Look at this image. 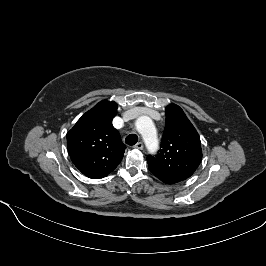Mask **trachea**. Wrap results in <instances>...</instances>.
Instances as JSON below:
<instances>
[{"instance_id":"3493384b","label":"trachea","mask_w":266,"mask_h":266,"mask_svg":"<svg viewBox=\"0 0 266 266\" xmlns=\"http://www.w3.org/2000/svg\"><path fill=\"white\" fill-rule=\"evenodd\" d=\"M125 141L128 145H135L138 141V136L136 134H130L126 137Z\"/></svg>"}]
</instances>
